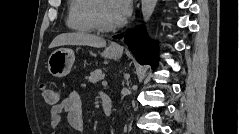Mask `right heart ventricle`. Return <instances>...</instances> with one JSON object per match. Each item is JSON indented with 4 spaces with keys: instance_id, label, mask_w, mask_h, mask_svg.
<instances>
[{
    "instance_id": "right-heart-ventricle-1",
    "label": "right heart ventricle",
    "mask_w": 239,
    "mask_h": 134,
    "mask_svg": "<svg viewBox=\"0 0 239 134\" xmlns=\"http://www.w3.org/2000/svg\"><path fill=\"white\" fill-rule=\"evenodd\" d=\"M93 0H71L68 7L67 26L81 33L94 31L90 20V9Z\"/></svg>"
}]
</instances>
